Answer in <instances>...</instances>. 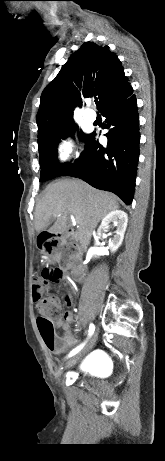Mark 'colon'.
<instances>
[{"label":"colon","mask_w":165,"mask_h":461,"mask_svg":"<svg viewBox=\"0 0 165 461\" xmlns=\"http://www.w3.org/2000/svg\"><path fill=\"white\" fill-rule=\"evenodd\" d=\"M56 243L50 240H44L42 247L45 251H50ZM62 270L54 266L44 267L39 275L35 278L32 285L33 298L37 303L39 313L37 324L42 339L46 347L54 349L57 343L54 321L62 315L60 299L53 295H45L50 284H59L62 282Z\"/></svg>","instance_id":"colon-1"}]
</instances>
